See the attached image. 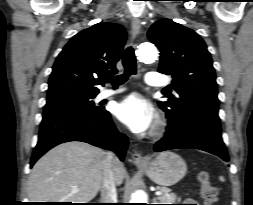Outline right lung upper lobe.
<instances>
[{"mask_svg": "<svg viewBox=\"0 0 253 205\" xmlns=\"http://www.w3.org/2000/svg\"><path fill=\"white\" fill-rule=\"evenodd\" d=\"M125 29L101 22L76 34L58 55L49 79L47 102L68 97L96 96L99 79L116 72L126 42Z\"/></svg>", "mask_w": 253, "mask_h": 205, "instance_id": "obj_1", "label": "right lung upper lobe"}]
</instances>
